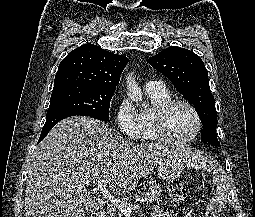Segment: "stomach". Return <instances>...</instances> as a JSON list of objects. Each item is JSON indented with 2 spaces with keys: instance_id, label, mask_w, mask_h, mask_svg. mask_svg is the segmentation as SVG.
<instances>
[{
  "instance_id": "stomach-1",
  "label": "stomach",
  "mask_w": 255,
  "mask_h": 217,
  "mask_svg": "<svg viewBox=\"0 0 255 217\" xmlns=\"http://www.w3.org/2000/svg\"><path fill=\"white\" fill-rule=\"evenodd\" d=\"M187 163L188 157L173 148L158 161V175L164 180H174L181 176Z\"/></svg>"
}]
</instances>
